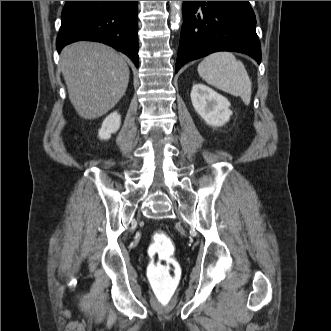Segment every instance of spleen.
Listing matches in <instances>:
<instances>
[{"label": "spleen", "instance_id": "spleen-1", "mask_svg": "<svg viewBox=\"0 0 331 331\" xmlns=\"http://www.w3.org/2000/svg\"><path fill=\"white\" fill-rule=\"evenodd\" d=\"M197 70L208 84L234 96H240L245 105L250 104V78L243 63L231 52H216L206 56Z\"/></svg>", "mask_w": 331, "mask_h": 331}]
</instances>
